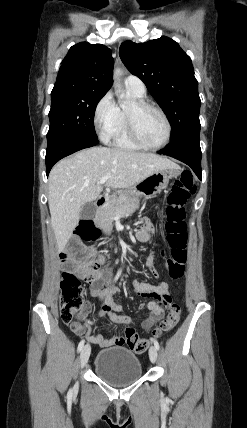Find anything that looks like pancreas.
Instances as JSON below:
<instances>
[{
  "instance_id": "obj_1",
  "label": "pancreas",
  "mask_w": 247,
  "mask_h": 428,
  "mask_svg": "<svg viewBox=\"0 0 247 428\" xmlns=\"http://www.w3.org/2000/svg\"><path fill=\"white\" fill-rule=\"evenodd\" d=\"M139 202V197L130 195L128 190L120 191L118 196L101 208L96 221L102 227L106 225L111 227L117 214L126 215L134 212L139 208Z\"/></svg>"
}]
</instances>
